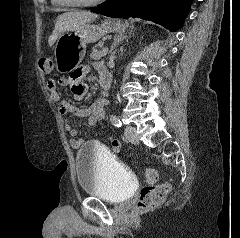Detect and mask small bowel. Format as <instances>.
<instances>
[{
    "mask_svg": "<svg viewBox=\"0 0 240 238\" xmlns=\"http://www.w3.org/2000/svg\"><path fill=\"white\" fill-rule=\"evenodd\" d=\"M96 68L99 72V75L102 72H106V70L100 64H97ZM88 72L89 67L85 66L77 69L72 74V77L70 79L61 78L58 82L55 79H49L47 81V90L50 94L51 99L57 103L58 110L61 114L71 113L78 117H88L89 125H95L99 122H102L106 116L105 107L108 104L106 97L97 99L95 103L90 107L80 108L68 101L61 100L58 92V84L61 86H68L71 89L75 99H82L86 93V86L81 82V77ZM64 126L71 137V147L74 149H79L84 144V140L77 138V129L67 119L64 122ZM111 145L114 149V154H123V149H121L123 147L122 143H119L117 140L112 139Z\"/></svg>",
    "mask_w": 240,
    "mask_h": 238,
    "instance_id": "small-bowel-1",
    "label": "small bowel"
}]
</instances>
